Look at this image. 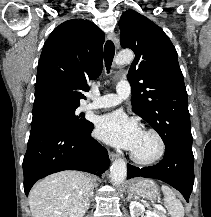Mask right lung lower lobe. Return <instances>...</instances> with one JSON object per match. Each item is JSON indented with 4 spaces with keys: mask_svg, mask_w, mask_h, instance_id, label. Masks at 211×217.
Returning a JSON list of instances; mask_svg holds the SVG:
<instances>
[{
    "mask_svg": "<svg viewBox=\"0 0 211 217\" xmlns=\"http://www.w3.org/2000/svg\"><path fill=\"white\" fill-rule=\"evenodd\" d=\"M93 128L90 122L89 128L79 135L56 127L31 129L23 160L25 194L37 180L63 170L101 176L110 160L107 150L91 137Z\"/></svg>",
    "mask_w": 211,
    "mask_h": 217,
    "instance_id": "1",
    "label": "right lung lower lobe"
}]
</instances>
